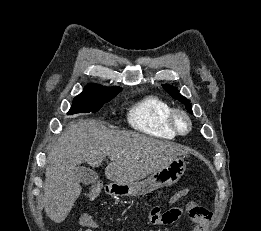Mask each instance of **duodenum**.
Listing matches in <instances>:
<instances>
[{"label": "duodenum", "mask_w": 261, "mask_h": 231, "mask_svg": "<svg viewBox=\"0 0 261 231\" xmlns=\"http://www.w3.org/2000/svg\"><path fill=\"white\" fill-rule=\"evenodd\" d=\"M104 190H107V187H106V186H104Z\"/></svg>", "instance_id": "obj_1"}]
</instances>
